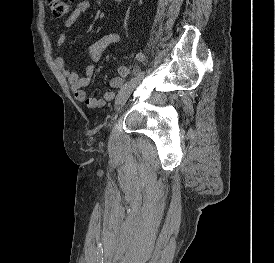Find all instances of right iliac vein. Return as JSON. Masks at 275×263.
I'll return each instance as SVG.
<instances>
[{
	"mask_svg": "<svg viewBox=\"0 0 275 263\" xmlns=\"http://www.w3.org/2000/svg\"><path fill=\"white\" fill-rule=\"evenodd\" d=\"M144 74H138L136 77H134L119 93L115 100V109L119 110L120 107L126 102V100L129 98L133 90L136 88V86L140 83L142 80Z\"/></svg>",
	"mask_w": 275,
	"mask_h": 263,
	"instance_id": "right-iliac-vein-1",
	"label": "right iliac vein"
}]
</instances>
